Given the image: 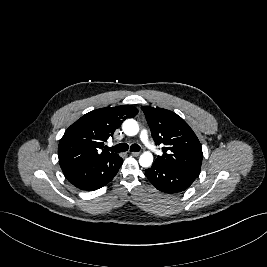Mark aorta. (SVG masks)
Returning a JSON list of instances; mask_svg holds the SVG:
<instances>
[{"label": "aorta", "instance_id": "aorta-1", "mask_svg": "<svg viewBox=\"0 0 267 267\" xmlns=\"http://www.w3.org/2000/svg\"><path fill=\"white\" fill-rule=\"evenodd\" d=\"M123 132L128 136H134L139 132V125L134 119H127L122 125ZM139 163L142 167L148 168L153 163V155L149 151H145L139 158Z\"/></svg>", "mask_w": 267, "mask_h": 267}]
</instances>
